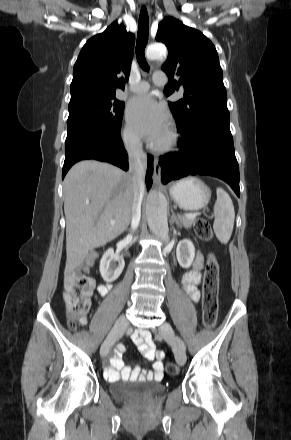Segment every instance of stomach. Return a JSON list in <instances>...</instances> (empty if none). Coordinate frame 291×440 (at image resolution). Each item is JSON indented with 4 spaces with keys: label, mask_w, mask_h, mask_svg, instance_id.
Wrapping results in <instances>:
<instances>
[{
    "label": "stomach",
    "mask_w": 291,
    "mask_h": 440,
    "mask_svg": "<svg viewBox=\"0 0 291 440\" xmlns=\"http://www.w3.org/2000/svg\"><path fill=\"white\" fill-rule=\"evenodd\" d=\"M170 195L180 208L196 211L209 203L211 191L200 179L187 177L170 188Z\"/></svg>",
    "instance_id": "1"
}]
</instances>
